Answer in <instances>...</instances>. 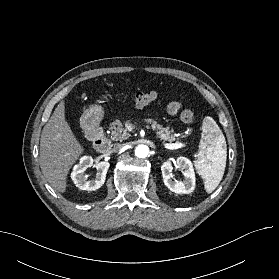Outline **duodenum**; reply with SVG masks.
<instances>
[{
    "mask_svg": "<svg viewBox=\"0 0 279 279\" xmlns=\"http://www.w3.org/2000/svg\"><path fill=\"white\" fill-rule=\"evenodd\" d=\"M85 133L91 139L93 147L97 152L104 153L110 149V140L106 137L103 128L98 124L87 122L85 124Z\"/></svg>",
    "mask_w": 279,
    "mask_h": 279,
    "instance_id": "duodenum-1",
    "label": "duodenum"
}]
</instances>
